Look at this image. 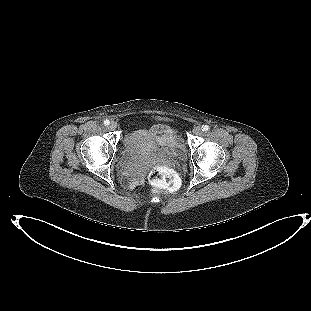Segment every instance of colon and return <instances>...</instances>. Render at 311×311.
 Here are the masks:
<instances>
[{"label":"colon","mask_w":311,"mask_h":311,"mask_svg":"<svg viewBox=\"0 0 311 311\" xmlns=\"http://www.w3.org/2000/svg\"><path fill=\"white\" fill-rule=\"evenodd\" d=\"M148 179L156 189L162 190L165 193L175 191L179 185L177 173L167 166H156L151 169Z\"/></svg>","instance_id":"1"}]
</instances>
